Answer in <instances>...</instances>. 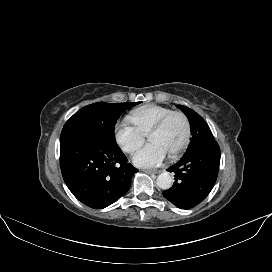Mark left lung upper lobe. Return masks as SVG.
<instances>
[{
	"label": "left lung upper lobe",
	"mask_w": 272,
	"mask_h": 272,
	"mask_svg": "<svg viewBox=\"0 0 272 272\" xmlns=\"http://www.w3.org/2000/svg\"><path fill=\"white\" fill-rule=\"evenodd\" d=\"M177 107L187 115L191 126L192 138L186 152L215 140L209 126L199 114L183 105Z\"/></svg>",
	"instance_id": "left-lung-upper-lobe-1"
}]
</instances>
